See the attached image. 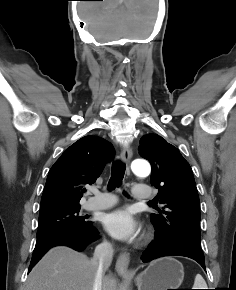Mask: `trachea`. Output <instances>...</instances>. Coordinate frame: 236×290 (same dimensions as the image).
<instances>
[{
	"mask_svg": "<svg viewBox=\"0 0 236 290\" xmlns=\"http://www.w3.org/2000/svg\"><path fill=\"white\" fill-rule=\"evenodd\" d=\"M124 174L125 165L120 161L114 162L111 168V178L109 180L108 188L113 190L116 187L121 186Z\"/></svg>",
	"mask_w": 236,
	"mask_h": 290,
	"instance_id": "1",
	"label": "trachea"
}]
</instances>
